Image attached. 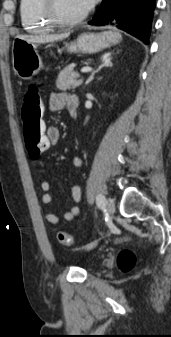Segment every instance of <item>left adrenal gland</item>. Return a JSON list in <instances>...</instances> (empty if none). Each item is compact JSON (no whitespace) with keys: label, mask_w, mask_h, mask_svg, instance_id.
Listing matches in <instances>:
<instances>
[{"label":"left adrenal gland","mask_w":171,"mask_h":337,"mask_svg":"<svg viewBox=\"0 0 171 337\" xmlns=\"http://www.w3.org/2000/svg\"><path fill=\"white\" fill-rule=\"evenodd\" d=\"M112 65L113 64L111 62V52L106 53L102 57V64L95 71H93V73L91 74V76L86 81V85H88L94 79V75L96 73H98L103 67H111Z\"/></svg>","instance_id":"1"}]
</instances>
